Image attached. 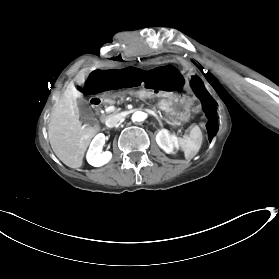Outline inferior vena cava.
Here are the masks:
<instances>
[{
    "label": "inferior vena cava",
    "mask_w": 279,
    "mask_h": 279,
    "mask_svg": "<svg viewBox=\"0 0 279 279\" xmlns=\"http://www.w3.org/2000/svg\"><path fill=\"white\" fill-rule=\"evenodd\" d=\"M121 120H122V117L117 114V115H114V116L108 118V120L106 119L105 123L108 127H114V126L116 127L117 122L121 121Z\"/></svg>",
    "instance_id": "1"
}]
</instances>
